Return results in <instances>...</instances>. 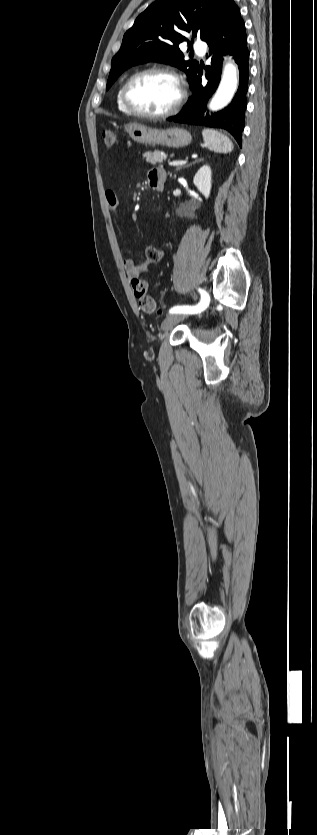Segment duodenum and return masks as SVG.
Listing matches in <instances>:
<instances>
[{
    "instance_id": "obj_1",
    "label": "duodenum",
    "mask_w": 317,
    "mask_h": 835,
    "mask_svg": "<svg viewBox=\"0 0 317 835\" xmlns=\"http://www.w3.org/2000/svg\"><path fill=\"white\" fill-rule=\"evenodd\" d=\"M151 185H152V187H153L154 189H156V190H161V187H160L158 184H156V183H152Z\"/></svg>"
}]
</instances>
